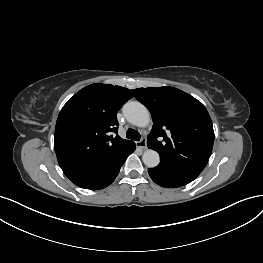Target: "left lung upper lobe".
<instances>
[{
  "label": "left lung upper lobe",
  "instance_id": "left-lung-upper-lobe-1",
  "mask_svg": "<svg viewBox=\"0 0 263 263\" xmlns=\"http://www.w3.org/2000/svg\"><path fill=\"white\" fill-rule=\"evenodd\" d=\"M132 92L152 114L147 146L159 153L160 163L200 174L214 143L212 121L204 105L173 87L138 88Z\"/></svg>",
  "mask_w": 263,
  "mask_h": 263
}]
</instances>
